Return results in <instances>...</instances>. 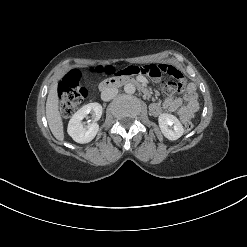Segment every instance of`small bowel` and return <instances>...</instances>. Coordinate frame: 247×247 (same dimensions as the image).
I'll list each match as a JSON object with an SVG mask.
<instances>
[{
	"label": "small bowel",
	"instance_id": "1",
	"mask_svg": "<svg viewBox=\"0 0 247 247\" xmlns=\"http://www.w3.org/2000/svg\"><path fill=\"white\" fill-rule=\"evenodd\" d=\"M116 75H142L149 77L155 82H159L164 75L172 78V80L162 85L168 97L162 103H152L150 105V112L154 116L164 113H177L180 121L186 124L195 116L199 109L194 84L187 83L185 75L174 65L165 63L129 65L116 73ZM182 90L185 92L184 97H177L176 94Z\"/></svg>",
	"mask_w": 247,
	"mask_h": 247
}]
</instances>
